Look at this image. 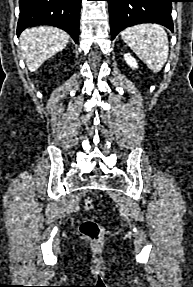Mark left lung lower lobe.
<instances>
[{"label":"left lung lower lobe","mask_w":193,"mask_h":287,"mask_svg":"<svg viewBox=\"0 0 193 287\" xmlns=\"http://www.w3.org/2000/svg\"><path fill=\"white\" fill-rule=\"evenodd\" d=\"M109 3L112 39L124 28L140 23H158L173 31L171 3L174 0H106Z\"/></svg>","instance_id":"obj_1"}]
</instances>
